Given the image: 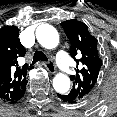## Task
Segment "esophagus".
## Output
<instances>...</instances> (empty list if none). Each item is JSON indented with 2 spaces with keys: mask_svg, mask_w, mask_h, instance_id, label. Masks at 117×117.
Segmentation results:
<instances>
[{
  "mask_svg": "<svg viewBox=\"0 0 117 117\" xmlns=\"http://www.w3.org/2000/svg\"><path fill=\"white\" fill-rule=\"evenodd\" d=\"M43 65L46 67V69H47L50 73L54 74V73L56 72V67H55V65H54L53 62H51V61L45 62V63H43Z\"/></svg>",
  "mask_w": 117,
  "mask_h": 117,
  "instance_id": "34e87169",
  "label": "esophagus"
}]
</instances>
